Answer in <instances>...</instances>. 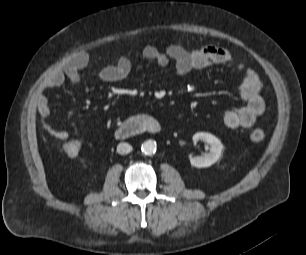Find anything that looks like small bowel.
Here are the masks:
<instances>
[{"label":"small bowel","mask_w":306,"mask_h":255,"mask_svg":"<svg viewBox=\"0 0 306 255\" xmlns=\"http://www.w3.org/2000/svg\"><path fill=\"white\" fill-rule=\"evenodd\" d=\"M142 57L161 67L174 63L176 72L181 76L193 70L233 63L231 53L215 45H204L193 50H188L178 44H170L164 50L154 45H147L142 50ZM88 62L87 53H78L62 68L55 70L47 77L36 96L37 110L41 117L46 118L50 114L49 94L62 86L66 80L77 85L80 82V71L87 66ZM237 68L244 72L240 85V97L244 105L224 113L222 125L230 129L251 127L265 110V103L261 96V83L257 73L243 64H237ZM131 71V60L127 56H121L115 64L99 69L97 77L104 82H118L127 78ZM43 129L57 140H66L69 136L66 130L56 129L47 122L43 123Z\"/></svg>","instance_id":"c3829d8e"}]
</instances>
